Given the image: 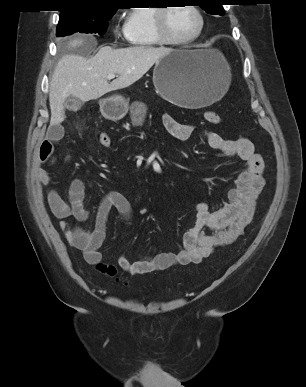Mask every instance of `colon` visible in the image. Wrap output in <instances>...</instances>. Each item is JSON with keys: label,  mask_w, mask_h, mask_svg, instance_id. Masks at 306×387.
<instances>
[{"label": "colon", "mask_w": 306, "mask_h": 387, "mask_svg": "<svg viewBox=\"0 0 306 387\" xmlns=\"http://www.w3.org/2000/svg\"><path fill=\"white\" fill-rule=\"evenodd\" d=\"M204 116L205 119L212 124H219L221 122L220 115L215 111H207ZM98 143L100 146L107 148L111 145V138L107 133L102 132L98 135ZM97 267L101 272L108 276H116V268L113 265L98 263Z\"/></svg>", "instance_id": "colon-1"}]
</instances>
